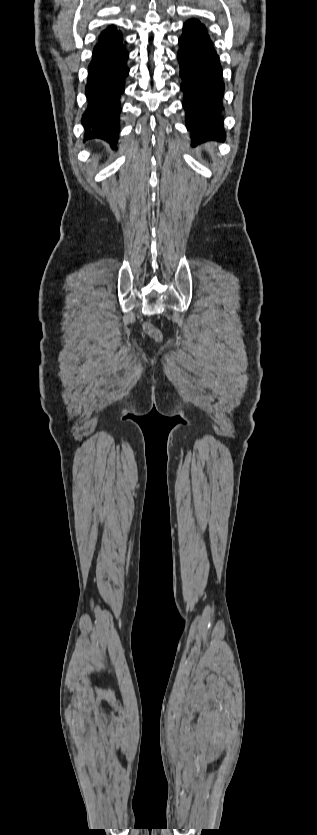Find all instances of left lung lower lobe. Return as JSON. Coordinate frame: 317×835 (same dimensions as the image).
I'll list each match as a JSON object with an SVG mask.
<instances>
[{
	"mask_svg": "<svg viewBox=\"0 0 317 835\" xmlns=\"http://www.w3.org/2000/svg\"><path fill=\"white\" fill-rule=\"evenodd\" d=\"M179 46L177 58L183 79V107L192 144L224 141L221 95L225 85L219 57L205 26L196 19L188 20L183 26Z\"/></svg>",
	"mask_w": 317,
	"mask_h": 835,
	"instance_id": "0a47b994",
	"label": "left lung lower lobe"
}]
</instances>
